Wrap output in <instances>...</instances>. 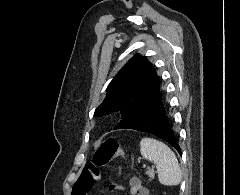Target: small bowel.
I'll list each match as a JSON object with an SVG mask.
<instances>
[{
  "label": "small bowel",
  "mask_w": 240,
  "mask_h": 195,
  "mask_svg": "<svg viewBox=\"0 0 240 195\" xmlns=\"http://www.w3.org/2000/svg\"><path fill=\"white\" fill-rule=\"evenodd\" d=\"M130 192L132 195H150L149 190L142 184L140 178L132 177L129 181ZM116 191H122L123 187L115 186Z\"/></svg>",
  "instance_id": "small-bowel-1"
}]
</instances>
